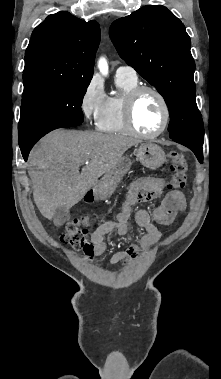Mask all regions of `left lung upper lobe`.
I'll list each match as a JSON object with an SVG mask.
<instances>
[{
    "instance_id": "5c2ea615",
    "label": "left lung upper lobe",
    "mask_w": 221,
    "mask_h": 379,
    "mask_svg": "<svg viewBox=\"0 0 221 379\" xmlns=\"http://www.w3.org/2000/svg\"><path fill=\"white\" fill-rule=\"evenodd\" d=\"M110 38L119 55L163 96L171 139L201 145L204 127L195 99V62L183 23L166 7L149 5L112 23Z\"/></svg>"
}]
</instances>
